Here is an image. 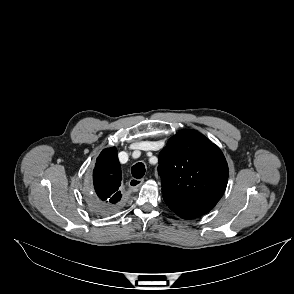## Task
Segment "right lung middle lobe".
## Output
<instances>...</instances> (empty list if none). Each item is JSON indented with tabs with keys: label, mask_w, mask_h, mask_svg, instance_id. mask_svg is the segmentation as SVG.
<instances>
[{
	"label": "right lung middle lobe",
	"mask_w": 294,
	"mask_h": 294,
	"mask_svg": "<svg viewBox=\"0 0 294 294\" xmlns=\"http://www.w3.org/2000/svg\"><path fill=\"white\" fill-rule=\"evenodd\" d=\"M89 203H90L91 209H92L94 212H96V213H98V214H101V210H100V209H101V208H100L101 206H100V204L98 203V201L96 200L95 195L89 198Z\"/></svg>",
	"instance_id": "1"
}]
</instances>
